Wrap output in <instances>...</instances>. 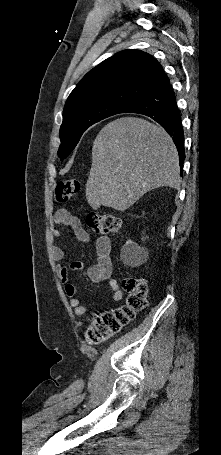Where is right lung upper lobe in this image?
Segmentation results:
<instances>
[{"instance_id": "obj_1", "label": "right lung upper lobe", "mask_w": 221, "mask_h": 455, "mask_svg": "<svg viewBox=\"0 0 221 455\" xmlns=\"http://www.w3.org/2000/svg\"><path fill=\"white\" fill-rule=\"evenodd\" d=\"M163 73L155 58L124 50L88 72L69 95L64 113L80 106L113 102L126 108L143 97Z\"/></svg>"}]
</instances>
